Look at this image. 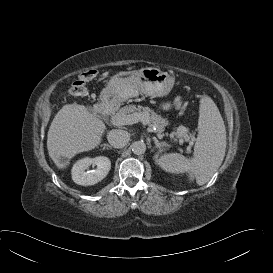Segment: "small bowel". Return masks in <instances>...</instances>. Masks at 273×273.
Segmentation results:
<instances>
[{
	"mask_svg": "<svg viewBox=\"0 0 273 273\" xmlns=\"http://www.w3.org/2000/svg\"><path fill=\"white\" fill-rule=\"evenodd\" d=\"M171 105H175V106H179L180 105V100L179 99H175V101L173 103H166V107H169Z\"/></svg>",
	"mask_w": 273,
	"mask_h": 273,
	"instance_id": "small-bowel-1",
	"label": "small bowel"
}]
</instances>
